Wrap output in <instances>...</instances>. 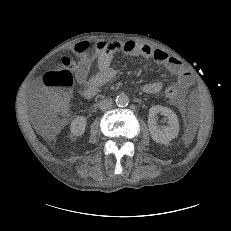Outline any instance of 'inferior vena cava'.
<instances>
[{
    "label": "inferior vena cava",
    "mask_w": 231,
    "mask_h": 231,
    "mask_svg": "<svg viewBox=\"0 0 231 231\" xmlns=\"http://www.w3.org/2000/svg\"><path fill=\"white\" fill-rule=\"evenodd\" d=\"M112 106H113V102H112V100H109V99L102 100L99 103V107L103 111L110 109Z\"/></svg>",
    "instance_id": "inferior-vena-cava-1"
}]
</instances>
